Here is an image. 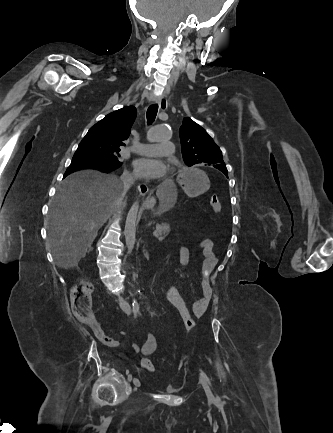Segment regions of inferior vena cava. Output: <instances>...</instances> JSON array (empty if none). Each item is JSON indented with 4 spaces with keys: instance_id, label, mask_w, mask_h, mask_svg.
Segmentation results:
<instances>
[{
    "instance_id": "inferior-vena-cava-1",
    "label": "inferior vena cava",
    "mask_w": 333,
    "mask_h": 433,
    "mask_svg": "<svg viewBox=\"0 0 333 433\" xmlns=\"http://www.w3.org/2000/svg\"><path fill=\"white\" fill-rule=\"evenodd\" d=\"M136 178L131 175L129 172L125 171L122 176L120 177V182L122 184V198L120 203H122L123 199L126 196V193L128 192V190L130 189V187L135 183ZM123 311L129 316L131 315V308L130 306L126 305L123 307Z\"/></svg>"
}]
</instances>
